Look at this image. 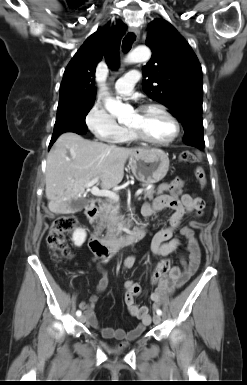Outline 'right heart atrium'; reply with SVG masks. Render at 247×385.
Masks as SVG:
<instances>
[{
	"instance_id": "1",
	"label": "right heart atrium",
	"mask_w": 247,
	"mask_h": 385,
	"mask_svg": "<svg viewBox=\"0 0 247 385\" xmlns=\"http://www.w3.org/2000/svg\"><path fill=\"white\" fill-rule=\"evenodd\" d=\"M86 125L91 133L99 140L108 143H117L125 128L117 123L112 114L100 102H95L85 118Z\"/></svg>"
}]
</instances>
